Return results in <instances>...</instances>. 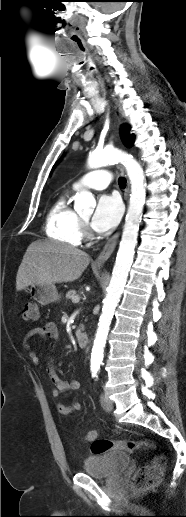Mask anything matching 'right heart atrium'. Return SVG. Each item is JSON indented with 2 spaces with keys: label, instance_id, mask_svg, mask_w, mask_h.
I'll use <instances>...</instances> for the list:
<instances>
[{
  "label": "right heart atrium",
  "instance_id": "obj_1",
  "mask_svg": "<svg viewBox=\"0 0 186 517\" xmlns=\"http://www.w3.org/2000/svg\"><path fill=\"white\" fill-rule=\"evenodd\" d=\"M82 229H83V231H85V226L84 225H82Z\"/></svg>",
  "mask_w": 186,
  "mask_h": 517
}]
</instances>
